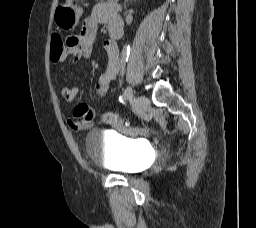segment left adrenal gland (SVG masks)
<instances>
[{"label": "left adrenal gland", "instance_id": "obj_1", "mask_svg": "<svg viewBox=\"0 0 256 228\" xmlns=\"http://www.w3.org/2000/svg\"><path fill=\"white\" fill-rule=\"evenodd\" d=\"M128 1H129V0H125L124 6H126V3H127Z\"/></svg>", "mask_w": 256, "mask_h": 228}]
</instances>
